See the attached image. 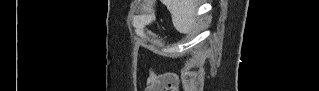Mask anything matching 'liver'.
<instances>
[{
  "mask_svg": "<svg viewBox=\"0 0 319 91\" xmlns=\"http://www.w3.org/2000/svg\"><path fill=\"white\" fill-rule=\"evenodd\" d=\"M196 10L193 0H173L171 12L173 14V24L179 30H187L194 23V13Z\"/></svg>",
  "mask_w": 319,
  "mask_h": 91,
  "instance_id": "liver-1",
  "label": "liver"
}]
</instances>
